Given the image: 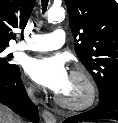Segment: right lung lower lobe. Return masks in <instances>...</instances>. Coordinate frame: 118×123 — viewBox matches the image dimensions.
Segmentation results:
<instances>
[{
    "instance_id": "obj_1",
    "label": "right lung lower lobe",
    "mask_w": 118,
    "mask_h": 123,
    "mask_svg": "<svg viewBox=\"0 0 118 123\" xmlns=\"http://www.w3.org/2000/svg\"><path fill=\"white\" fill-rule=\"evenodd\" d=\"M0 103L34 123L39 121L38 108L27 96L20 71L11 77H0Z\"/></svg>"
}]
</instances>
